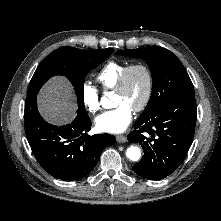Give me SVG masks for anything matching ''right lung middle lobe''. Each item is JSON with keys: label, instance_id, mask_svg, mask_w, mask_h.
<instances>
[{"label": "right lung middle lobe", "instance_id": "1", "mask_svg": "<svg viewBox=\"0 0 221 221\" xmlns=\"http://www.w3.org/2000/svg\"><path fill=\"white\" fill-rule=\"evenodd\" d=\"M114 51L113 48L102 50H81L61 47L50 53L37 67L29 84L27 97L36 96L42 85L55 75L69 79L74 86L78 107L84 108L83 80L90 70L104 62Z\"/></svg>", "mask_w": 221, "mask_h": 221}]
</instances>
